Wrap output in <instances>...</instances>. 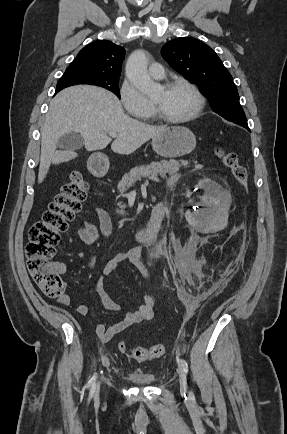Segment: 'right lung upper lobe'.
I'll return each mask as SVG.
<instances>
[{
  "instance_id": "right-lung-upper-lobe-1",
  "label": "right lung upper lobe",
  "mask_w": 287,
  "mask_h": 434,
  "mask_svg": "<svg viewBox=\"0 0 287 434\" xmlns=\"http://www.w3.org/2000/svg\"><path fill=\"white\" fill-rule=\"evenodd\" d=\"M124 55V48L111 41H95L84 47L66 70L95 77L119 78ZM60 90L56 88V93Z\"/></svg>"
}]
</instances>
